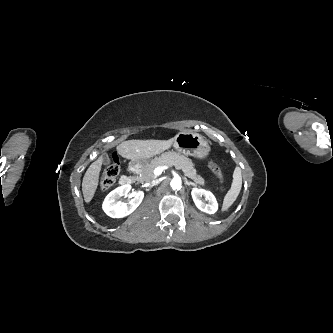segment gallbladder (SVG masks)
<instances>
[{"label":"gallbladder","mask_w":333,"mask_h":333,"mask_svg":"<svg viewBox=\"0 0 333 333\" xmlns=\"http://www.w3.org/2000/svg\"><path fill=\"white\" fill-rule=\"evenodd\" d=\"M102 160H103V164L104 165H109L111 164V158L109 157V155L107 153H104L102 155Z\"/></svg>","instance_id":"gallbladder-1"}]
</instances>
